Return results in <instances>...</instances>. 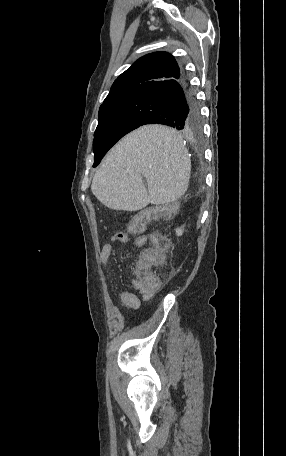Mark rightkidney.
<instances>
[{"label": "right kidney", "mask_w": 286, "mask_h": 456, "mask_svg": "<svg viewBox=\"0 0 286 456\" xmlns=\"http://www.w3.org/2000/svg\"><path fill=\"white\" fill-rule=\"evenodd\" d=\"M183 231H184V229L182 227L181 228H177L176 229L177 236H181L183 234Z\"/></svg>", "instance_id": "right-kidney-1"}]
</instances>
